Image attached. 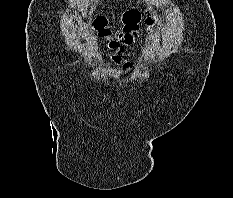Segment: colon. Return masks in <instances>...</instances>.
Masks as SVG:
<instances>
[{"label":"colon","instance_id":"5ec220e1","mask_svg":"<svg viewBox=\"0 0 233 198\" xmlns=\"http://www.w3.org/2000/svg\"><path fill=\"white\" fill-rule=\"evenodd\" d=\"M153 23L154 20L151 16L143 18L138 10H128L124 12L120 20L121 31L125 32H138L142 24L151 27ZM94 27L102 37H107L111 34L105 17L96 18Z\"/></svg>","mask_w":233,"mask_h":198}]
</instances>
